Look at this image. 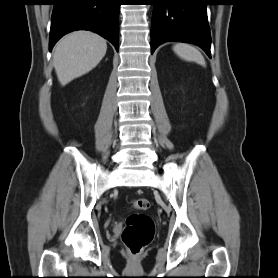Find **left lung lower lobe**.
Listing matches in <instances>:
<instances>
[{
  "label": "left lung lower lobe",
  "instance_id": "obj_1",
  "mask_svg": "<svg viewBox=\"0 0 278 278\" xmlns=\"http://www.w3.org/2000/svg\"><path fill=\"white\" fill-rule=\"evenodd\" d=\"M207 1L152 0L151 53L164 42L179 41L198 45L211 58Z\"/></svg>",
  "mask_w": 278,
  "mask_h": 278
}]
</instances>
